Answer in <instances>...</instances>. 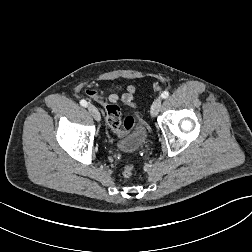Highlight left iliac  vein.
I'll return each mask as SVG.
<instances>
[{"mask_svg": "<svg viewBox=\"0 0 252 252\" xmlns=\"http://www.w3.org/2000/svg\"><path fill=\"white\" fill-rule=\"evenodd\" d=\"M161 106H162L161 98L155 99V101L153 102L151 106V115L156 116L159 113Z\"/></svg>", "mask_w": 252, "mask_h": 252, "instance_id": "4c4485c4", "label": "left iliac vein"}]
</instances>
